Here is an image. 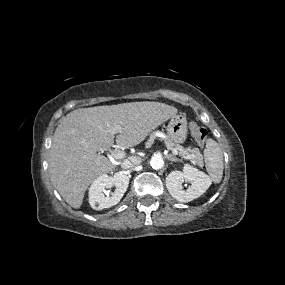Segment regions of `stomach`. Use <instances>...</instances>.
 Instances as JSON below:
<instances>
[{"instance_id":"obj_1","label":"stomach","mask_w":285,"mask_h":285,"mask_svg":"<svg viewBox=\"0 0 285 285\" xmlns=\"http://www.w3.org/2000/svg\"><path fill=\"white\" fill-rule=\"evenodd\" d=\"M167 137L175 144L184 143L187 138V120L183 115L171 117L167 126Z\"/></svg>"}]
</instances>
